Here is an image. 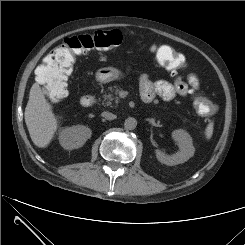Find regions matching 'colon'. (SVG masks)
<instances>
[{"mask_svg":"<svg viewBox=\"0 0 245 245\" xmlns=\"http://www.w3.org/2000/svg\"><path fill=\"white\" fill-rule=\"evenodd\" d=\"M122 43L118 30L96 31L92 34L78 35L67 39L55 48L38 69V78L44 83L49 99L58 101L68 93V77L75 62V56L90 50H108ZM159 64L172 71L185 67L183 56L169 46H161L156 51ZM193 105L196 112L206 119L211 118L217 110L216 104L203 95H194Z\"/></svg>","mask_w":245,"mask_h":245,"instance_id":"5ec220e1","label":"colon"}]
</instances>
